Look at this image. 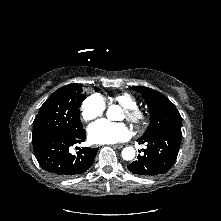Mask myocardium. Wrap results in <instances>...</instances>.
Here are the masks:
<instances>
[{"mask_svg": "<svg viewBox=\"0 0 221 221\" xmlns=\"http://www.w3.org/2000/svg\"><path fill=\"white\" fill-rule=\"evenodd\" d=\"M124 114L126 120L135 126L143 124L147 117L146 112L137 106L124 108Z\"/></svg>", "mask_w": 221, "mask_h": 221, "instance_id": "1", "label": "myocardium"}]
</instances>
